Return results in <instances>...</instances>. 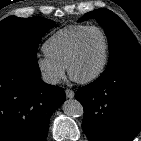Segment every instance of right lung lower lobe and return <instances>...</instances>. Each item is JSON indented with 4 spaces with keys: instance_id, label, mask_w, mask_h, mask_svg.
Listing matches in <instances>:
<instances>
[{
    "instance_id": "1",
    "label": "right lung lower lobe",
    "mask_w": 141,
    "mask_h": 141,
    "mask_svg": "<svg viewBox=\"0 0 141 141\" xmlns=\"http://www.w3.org/2000/svg\"><path fill=\"white\" fill-rule=\"evenodd\" d=\"M63 88L45 84L37 62H0V141H44Z\"/></svg>"
}]
</instances>
